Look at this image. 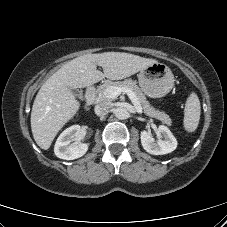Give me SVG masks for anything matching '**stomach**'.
Segmentation results:
<instances>
[{
    "label": "stomach",
    "instance_id": "1",
    "mask_svg": "<svg viewBox=\"0 0 227 227\" xmlns=\"http://www.w3.org/2000/svg\"><path fill=\"white\" fill-rule=\"evenodd\" d=\"M139 86L147 96L160 98L170 92L174 86V75L163 63H154L138 74Z\"/></svg>",
    "mask_w": 227,
    "mask_h": 227
}]
</instances>
